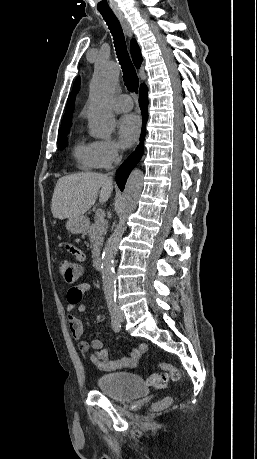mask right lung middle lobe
<instances>
[{"mask_svg":"<svg viewBox=\"0 0 257 459\" xmlns=\"http://www.w3.org/2000/svg\"><path fill=\"white\" fill-rule=\"evenodd\" d=\"M69 133V129L62 130L59 132L58 136V147L59 149L63 150L64 147L67 145V136L66 134Z\"/></svg>","mask_w":257,"mask_h":459,"instance_id":"dd1d6c3e","label":"right lung middle lobe"}]
</instances>
